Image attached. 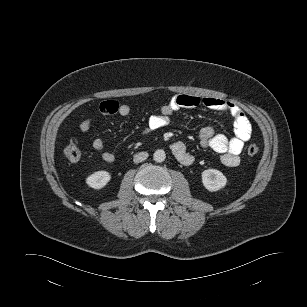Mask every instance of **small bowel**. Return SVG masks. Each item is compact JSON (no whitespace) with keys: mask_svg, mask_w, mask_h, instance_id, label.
Masks as SVG:
<instances>
[{"mask_svg":"<svg viewBox=\"0 0 307 307\" xmlns=\"http://www.w3.org/2000/svg\"><path fill=\"white\" fill-rule=\"evenodd\" d=\"M197 106L227 112L233 117L235 134L233 138H228L221 133H215L212 127L207 126L201 129L199 141L202 147L211 148L221 154V161L225 166H238L240 163L239 155L244 143L251 137L252 128L244 111L230 101L190 94L176 95L166 105L162 106L158 113L149 117L146 131H154L165 127L169 123L171 115L181 108H194ZM100 111L104 115L119 114L121 116H128L131 113V107L128 104H119L116 101L108 100L100 104ZM92 123L93 120L91 118L84 119L79 125V130L84 134L87 133L92 127ZM92 147L101 153L103 161L112 163L115 160L113 153L104 150V143L101 139H94ZM171 150L177 160L183 165H190L194 160L193 155L182 141L174 142L171 145Z\"/></svg>","mask_w":307,"mask_h":307,"instance_id":"c3829d8e","label":"small bowel"}]
</instances>
